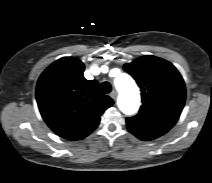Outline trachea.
Wrapping results in <instances>:
<instances>
[{
    "label": "trachea",
    "instance_id": "1",
    "mask_svg": "<svg viewBox=\"0 0 212 183\" xmlns=\"http://www.w3.org/2000/svg\"><path fill=\"white\" fill-rule=\"evenodd\" d=\"M101 89L104 93L108 94L112 90L111 84L109 82L105 81L101 84Z\"/></svg>",
    "mask_w": 212,
    "mask_h": 183
}]
</instances>
